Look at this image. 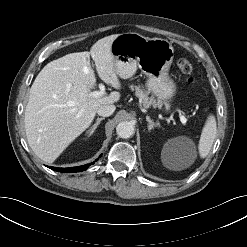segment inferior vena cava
Segmentation results:
<instances>
[{
  "instance_id": "602c4592",
  "label": "inferior vena cava",
  "mask_w": 247,
  "mask_h": 247,
  "mask_svg": "<svg viewBox=\"0 0 247 247\" xmlns=\"http://www.w3.org/2000/svg\"><path fill=\"white\" fill-rule=\"evenodd\" d=\"M115 109H116L115 105H112V104L111 105H101L98 108L97 113L99 116L108 117L113 114Z\"/></svg>"
}]
</instances>
